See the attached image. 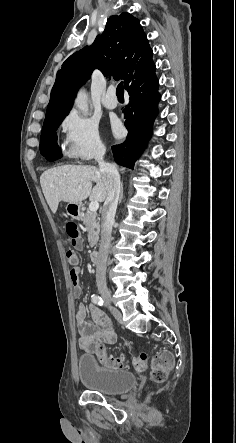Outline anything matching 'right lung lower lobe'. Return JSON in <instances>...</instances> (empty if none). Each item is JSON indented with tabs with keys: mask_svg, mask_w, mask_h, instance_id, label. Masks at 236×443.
I'll return each instance as SVG.
<instances>
[{
	"mask_svg": "<svg viewBox=\"0 0 236 443\" xmlns=\"http://www.w3.org/2000/svg\"><path fill=\"white\" fill-rule=\"evenodd\" d=\"M155 64L134 75L125 88L130 96V102L125 112V127L128 130L126 141L112 146L115 161L128 168L134 166L147 140L151 136L153 121L157 116V104L160 95L157 91L158 80L155 75ZM41 154L48 160L54 161L62 156L58 146L49 148Z\"/></svg>",
	"mask_w": 236,
	"mask_h": 443,
	"instance_id": "1",
	"label": "right lung lower lobe"
}]
</instances>
